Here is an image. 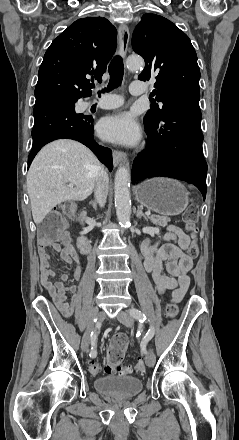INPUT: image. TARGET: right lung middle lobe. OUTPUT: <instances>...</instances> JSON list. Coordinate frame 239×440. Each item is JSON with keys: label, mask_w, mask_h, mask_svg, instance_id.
<instances>
[{"label": "right lung middle lobe", "mask_w": 239, "mask_h": 440, "mask_svg": "<svg viewBox=\"0 0 239 440\" xmlns=\"http://www.w3.org/2000/svg\"><path fill=\"white\" fill-rule=\"evenodd\" d=\"M64 99H67V100H69V101H73V102H77V100H78L79 98H64Z\"/></svg>", "instance_id": "1"}]
</instances>
